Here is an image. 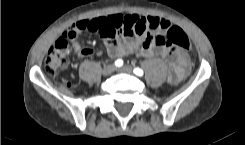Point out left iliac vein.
<instances>
[{
	"mask_svg": "<svg viewBox=\"0 0 245 145\" xmlns=\"http://www.w3.org/2000/svg\"><path fill=\"white\" fill-rule=\"evenodd\" d=\"M118 71L122 73L131 74L133 72V68L131 66H124L122 68H119Z\"/></svg>",
	"mask_w": 245,
	"mask_h": 145,
	"instance_id": "left-iliac-vein-1",
	"label": "left iliac vein"
}]
</instances>
